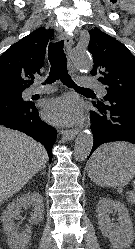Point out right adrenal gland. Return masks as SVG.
Segmentation results:
<instances>
[{
    "label": "right adrenal gland",
    "mask_w": 135,
    "mask_h": 249,
    "mask_svg": "<svg viewBox=\"0 0 135 249\" xmlns=\"http://www.w3.org/2000/svg\"><path fill=\"white\" fill-rule=\"evenodd\" d=\"M45 173H46L45 171L42 172V174H45Z\"/></svg>",
    "instance_id": "obj_1"
}]
</instances>
